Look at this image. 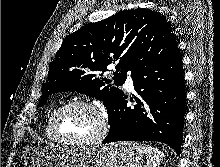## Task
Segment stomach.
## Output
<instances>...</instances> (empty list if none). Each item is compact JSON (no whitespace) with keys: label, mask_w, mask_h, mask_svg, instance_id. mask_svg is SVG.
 <instances>
[{"label":"stomach","mask_w":220,"mask_h":167,"mask_svg":"<svg viewBox=\"0 0 220 167\" xmlns=\"http://www.w3.org/2000/svg\"><path fill=\"white\" fill-rule=\"evenodd\" d=\"M26 167H142L143 151L134 142L69 149L32 142L24 153Z\"/></svg>","instance_id":"1"}]
</instances>
